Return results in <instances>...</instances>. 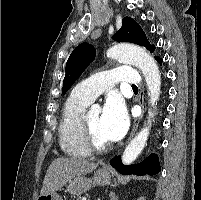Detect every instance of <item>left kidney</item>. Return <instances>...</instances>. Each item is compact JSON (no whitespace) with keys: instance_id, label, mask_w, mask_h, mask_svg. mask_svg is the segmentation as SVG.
Instances as JSON below:
<instances>
[{"instance_id":"left-kidney-1","label":"left kidney","mask_w":201,"mask_h":200,"mask_svg":"<svg viewBox=\"0 0 201 200\" xmlns=\"http://www.w3.org/2000/svg\"><path fill=\"white\" fill-rule=\"evenodd\" d=\"M137 200H145V198L144 197H140L139 199H137Z\"/></svg>"}]
</instances>
